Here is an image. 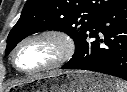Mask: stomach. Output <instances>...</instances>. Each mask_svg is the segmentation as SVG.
<instances>
[{
  "label": "stomach",
  "instance_id": "obj_1",
  "mask_svg": "<svg viewBox=\"0 0 127 92\" xmlns=\"http://www.w3.org/2000/svg\"><path fill=\"white\" fill-rule=\"evenodd\" d=\"M29 83L32 92H114L115 90L113 80L88 71H54L34 77Z\"/></svg>",
  "mask_w": 127,
  "mask_h": 92
}]
</instances>
